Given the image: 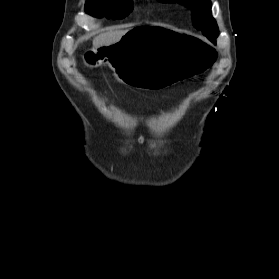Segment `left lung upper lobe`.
Wrapping results in <instances>:
<instances>
[{"mask_svg": "<svg viewBox=\"0 0 279 279\" xmlns=\"http://www.w3.org/2000/svg\"><path fill=\"white\" fill-rule=\"evenodd\" d=\"M161 2H178L191 9L193 25L201 30L212 42L218 37L219 30L216 21L211 16L210 0H158Z\"/></svg>", "mask_w": 279, "mask_h": 279, "instance_id": "1", "label": "left lung upper lobe"}]
</instances>
